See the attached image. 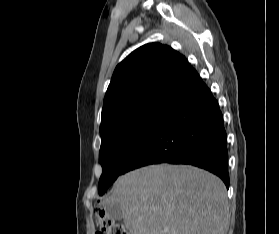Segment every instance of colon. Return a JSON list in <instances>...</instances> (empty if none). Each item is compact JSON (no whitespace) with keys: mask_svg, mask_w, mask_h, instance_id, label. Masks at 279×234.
Instances as JSON below:
<instances>
[{"mask_svg":"<svg viewBox=\"0 0 279 234\" xmlns=\"http://www.w3.org/2000/svg\"><path fill=\"white\" fill-rule=\"evenodd\" d=\"M99 230L95 234H128L122 224L110 218L102 209L97 210Z\"/></svg>","mask_w":279,"mask_h":234,"instance_id":"colon-1","label":"colon"}]
</instances>
